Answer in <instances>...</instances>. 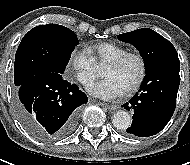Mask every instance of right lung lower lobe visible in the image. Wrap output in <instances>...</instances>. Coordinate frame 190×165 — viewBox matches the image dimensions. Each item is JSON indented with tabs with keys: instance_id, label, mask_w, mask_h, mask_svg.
<instances>
[{
	"instance_id": "right-lung-lower-lobe-1",
	"label": "right lung lower lobe",
	"mask_w": 190,
	"mask_h": 165,
	"mask_svg": "<svg viewBox=\"0 0 190 165\" xmlns=\"http://www.w3.org/2000/svg\"><path fill=\"white\" fill-rule=\"evenodd\" d=\"M87 102V96L76 84H70L60 73L48 72L35 75L18 87L15 108L34 137L50 141L73 132L79 107Z\"/></svg>"
}]
</instances>
